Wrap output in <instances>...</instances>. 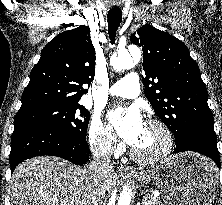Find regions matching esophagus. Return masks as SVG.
Returning a JSON list of instances; mask_svg holds the SVG:
<instances>
[{
	"instance_id": "34e87169",
	"label": "esophagus",
	"mask_w": 222,
	"mask_h": 205,
	"mask_svg": "<svg viewBox=\"0 0 222 205\" xmlns=\"http://www.w3.org/2000/svg\"><path fill=\"white\" fill-rule=\"evenodd\" d=\"M119 170L122 171V170H125V168H124V167H121Z\"/></svg>"
}]
</instances>
